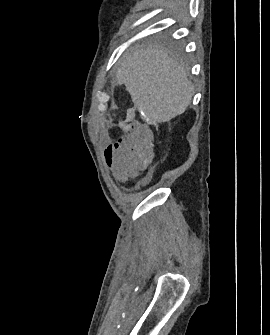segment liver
<instances>
[{
	"mask_svg": "<svg viewBox=\"0 0 270 335\" xmlns=\"http://www.w3.org/2000/svg\"><path fill=\"white\" fill-rule=\"evenodd\" d=\"M118 84L128 90L134 108L147 124H162L184 114L194 86L182 62L168 58L161 46H136L125 52L117 72Z\"/></svg>",
	"mask_w": 270,
	"mask_h": 335,
	"instance_id": "1",
	"label": "liver"
}]
</instances>
